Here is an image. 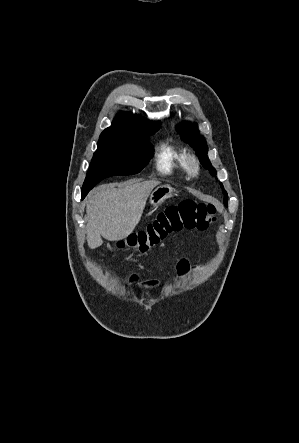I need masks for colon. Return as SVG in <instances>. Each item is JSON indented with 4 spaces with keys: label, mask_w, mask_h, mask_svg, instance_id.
<instances>
[{
    "label": "colon",
    "mask_w": 299,
    "mask_h": 443,
    "mask_svg": "<svg viewBox=\"0 0 299 443\" xmlns=\"http://www.w3.org/2000/svg\"><path fill=\"white\" fill-rule=\"evenodd\" d=\"M216 207L211 203L183 200L167 207L146 228L129 234L118 242L119 248L128 247L144 253L157 245L168 234L182 229L208 228L216 219Z\"/></svg>",
    "instance_id": "5ec220e1"
}]
</instances>
